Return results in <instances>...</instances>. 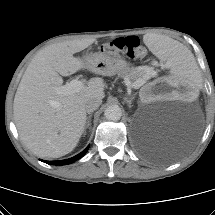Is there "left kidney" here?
<instances>
[{
    "label": "left kidney",
    "mask_w": 215,
    "mask_h": 215,
    "mask_svg": "<svg viewBox=\"0 0 215 215\" xmlns=\"http://www.w3.org/2000/svg\"><path fill=\"white\" fill-rule=\"evenodd\" d=\"M198 97L199 92L194 84L169 74H162L158 78V83L151 82L143 89V99L146 102L162 98L195 101Z\"/></svg>",
    "instance_id": "5707ae66"
}]
</instances>
